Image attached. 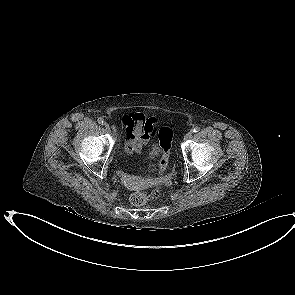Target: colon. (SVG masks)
<instances>
[{
  "mask_svg": "<svg viewBox=\"0 0 295 295\" xmlns=\"http://www.w3.org/2000/svg\"><path fill=\"white\" fill-rule=\"evenodd\" d=\"M159 144L161 148V159L159 162V171L164 173L169 164V155L171 148V141L173 138V129L171 126H165L159 130L158 133ZM159 196V190L152 188L150 190H139L131 195V202L135 206H143L148 201Z\"/></svg>",
  "mask_w": 295,
  "mask_h": 295,
  "instance_id": "colon-1",
  "label": "colon"
}]
</instances>
